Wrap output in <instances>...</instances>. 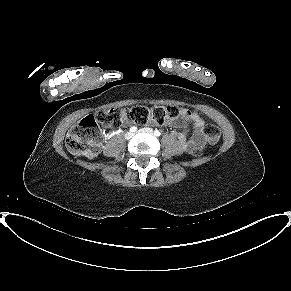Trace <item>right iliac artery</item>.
Returning <instances> with one entry per match:
<instances>
[{"instance_id": "right-iliac-artery-1", "label": "right iliac artery", "mask_w": 291, "mask_h": 291, "mask_svg": "<svg viewBox=\"0 0 291 291\" xmlns=\"http://www.w3.org/2000/svg\"><path fill=\"white\" fill-rule=\"evenodd\" d=\"M137 130V127L133 126L130 128V132H135Z\"/></svg>"}]
</instances>
